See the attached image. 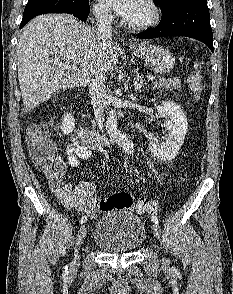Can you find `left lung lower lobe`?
I'll return each mask as SVG.
<instances>
[{
    "label": "left lung lower lobe",
    "instance_id": "0a47b994",
    "mask_svg": "<svg viewBox=\"0 0 233 294\" xmlns=\"http://www.w3.org/2000/svg\"><path fill=\"white\" fill-rule=\"evenodd\" d=\"M161 12L160 23L137 34V38L186 36L205 43L214 52L207 0H177Z\"/></svg>",
    "mask_w": 233,
    "mask_h": 294
}]
</instances>
